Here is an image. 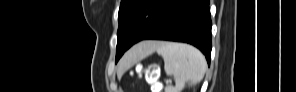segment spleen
<instances>
[{
  "instance_id": "obj_1",
  "label": "spleen",
  "mask_w": 296,
  "mask_h": 92,
  "mask_svg": "<svg viewBox=\"0 0 296 92\" xmlns=\"http://www.w3.org/2000/svg\"><path fill=\"white\" fill-rule=\"evenodd\" d=\"M154 50L162 56L166 74L175 80V86H169L167 92H181L186 84L193 86L203 79L207 64L195 47L184 43L157 42Z\"/></svg>"
}]
</instances>
